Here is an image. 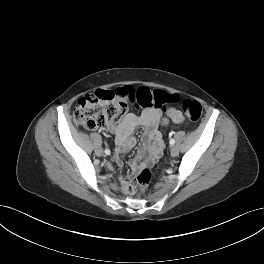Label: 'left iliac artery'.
Returning <instances> with one entry per match:
<instances>
[{"instance_id": "1", "label": "left iliac artery", "mask_w": 264, "mask_h": 264, "mask_svg": "<svg viewBox=\"0 0 264 264\" xmlns=\"http://www.w3.org/2000/svg\"><path fill=\"white\" fill-rule=\"evenodd\" d=\"M169 143H170L171 145H174V144H175V140H174V139H170Z\"/></svg>"}]
</instances>
